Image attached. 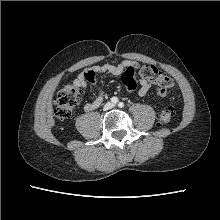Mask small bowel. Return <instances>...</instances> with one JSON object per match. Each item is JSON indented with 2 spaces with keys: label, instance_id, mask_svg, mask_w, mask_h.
<instances>
[{
  "label": "small bowel",
  "instance_id": "obj_1",
  "mask_svg": "<svg viewBox=\"0 0 220 220\" xmlns=\"http://www.w3.org/2000/svg\"><path fill=\"white\" fill-rule=\"evenodd\" d=\"M134 65L133 61L124 60L118 64H106L101 66H95L90 70L82 72L78 75V77L74 80V84L80 88L86 87V85L96 84V75L97 74H110V75H119L123 71L124 68ZM150 89V84L144 79H141L139 82L138 94L140 96H145ZM131 91V90H130ZM103 103V94L102 91L97 88V97L88 103L85 104L84 110L86 112H91Z\"/></svg>",
  "mask_w": 220,
  "mask_h": 220
}]
</instances>
